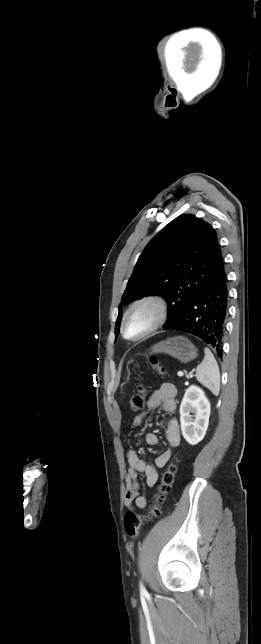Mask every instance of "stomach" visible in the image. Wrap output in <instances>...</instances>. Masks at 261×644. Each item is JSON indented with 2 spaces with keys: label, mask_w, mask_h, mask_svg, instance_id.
Wrapping results in <instances>:
<instances>
[{
  "label": "stomach",
  "mask_w": 261,
  "mask_h": 644,
  "mask_svg": "<svg viewBox=\"0 0 261 644\" xmlns=\"http://www.w3.org/2000/svg\"><path fill=\"white\" fill-rule=\"evenodd\" d=\"M151 353L168 354L182 363H187L196 358L197 349L186 337L176 336L154 344Z\"/></svg>",
  "instance_id": "obj_1"
}]
</instances>
